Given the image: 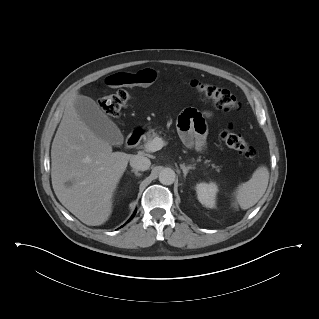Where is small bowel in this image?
<instances>
[{"instance_id": "c3829d8e", "label": "small bowel", "mask_w": 319, "mask_h": 319, "mask_svg": "<svg viewBox=\"0 0 319 319\" xmlns=\"http://www.w3.org/2000/svg\"><path fill=\"white\" fill-rule=\"evenodd\" d=\"M133 80H139L137 85L148 87L156 80V73L153 69H144L136 74L129 75ZM109 85H114L109 81ZM212 116L209 112L200 113L195 109H186L178 120V129L183 143L199 151L206 146L207 123L206 120Z\"/></svg>"}]
</instances>
